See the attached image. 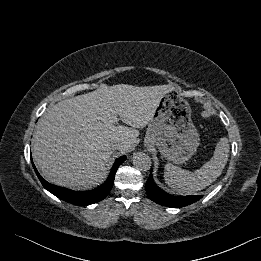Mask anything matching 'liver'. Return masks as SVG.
Instances as JSON below:
<instances>
[{"instance_id":"liver-1","label":"liver","mask_w":261,"mask_h":261,"mask_svg":"<svg viewBox=\"0 0 261 261\" xmlns=\"http://www.w3.org/2000/svg\"><path fill=\"white\" fill-rule=\"evenodd\" d=\"M172 88V84L101 85L55 104L39 120L32 140V156L43 177L78 190L103 183L112 144L119 142L118 150L129 151L137 142L138 129L149 124L160 98Z\"/></svg>"}]
</instances>
